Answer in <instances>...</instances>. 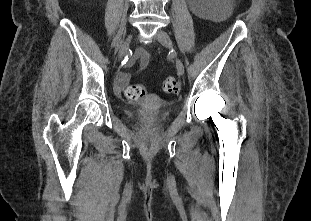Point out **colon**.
Listing matches in <instances>:
<instances>
[{
    "label": "colon",
    "instance_id": "obj_1",
    "mask_svg": "<svg viewBox=\"0 0 311 221\" xmlns=\"http://www.w3.org/2000/svg\"><path fill=\"white\" fill-rule=\"evenodd\" d=\"M161 91L168 95L176 94L179 91V82L174 77L166 78L161 84ZM143 85L130 86L126 89V96L131 99H142L145 95Z\"/></svg>",
    "mask_w": 311,
    "mask_h": 221
}]
</instances>
